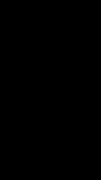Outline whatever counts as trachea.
Listing matches in <instances>:
<instances>
[{"mask_svg": "<svg viewBox=\"0 0 101 180\" xmlns=\"http://www.w3.org/2000/svg\"><path fill=\"white\" fill-rule=\"evenodd\" d=\"M47 110V106L46 103L44 102V100H38L36 102V111L37 113H43Z\"/></svg>", "mask_w": 101, "mask_h": 180, "instance_id": "1", "label": "trachea"}]
</instances>
